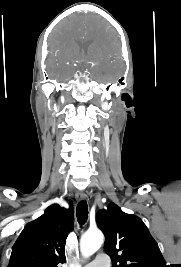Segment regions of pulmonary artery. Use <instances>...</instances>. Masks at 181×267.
Masks as SVG:
<instances>
[{"label":"pulmonary artery","mask_w":181,"mask_h":267,"mask_svg":"<svg viewBox=\"0 0 181 267\" xmlns=\"http://www.w3.org/2000/svg\"><path fill=\"white\" fill-rule=\"evenodd\" d=\"M84 267H108V259L105 256H98Z\"/></svg>","instance_id":"obj_1"}]
</instances>
